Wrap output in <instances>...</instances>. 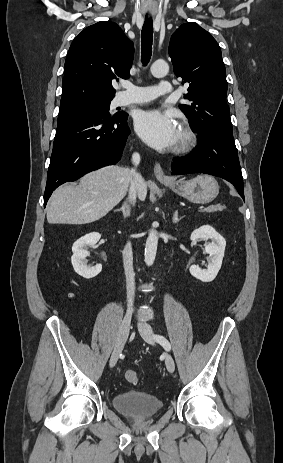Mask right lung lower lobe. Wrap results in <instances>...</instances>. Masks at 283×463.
<instances>
[{
  "label": "right lung lower lobe",
  "instance_id": "98d812e1",
  "mask_svg": "<svg viewBox=\"0 0 283 463\" xmlns=\"http://www.w3.org/2000/svg\"><path fill=\"white\" fill-rule=\"evenodd\" d=\"M128 115L81 114L57 125L47 175L44 207L61 184L120 160L130 129Z\"/></svg>",
  "mask_w": 283,
  "mask_h": 463
}]
</instances>
